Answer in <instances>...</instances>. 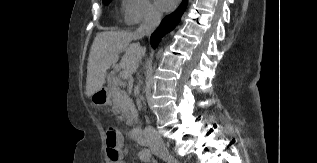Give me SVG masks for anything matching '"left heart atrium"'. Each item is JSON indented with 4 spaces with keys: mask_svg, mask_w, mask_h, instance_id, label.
Listing matches in <instances>:
<instances>
[{
    "mask_svg": "<svg viewBox=\"0 0 317 163\" xmlns=\"http://www.w3.org/2000/svg\"><path fill=\"white\" fill-rule=\"evenodd\" d=\"M158 6L163 10H171L177 4L178 0H156Z\"/></svg>",
    "mask_w": 317,
    "mask_h": 163,
    "instance_id": "left-heart-atrium-1",
    "label": "left heart atrium"
}]
</instances>
